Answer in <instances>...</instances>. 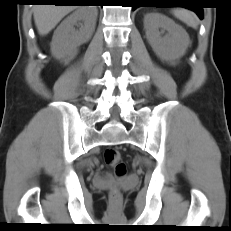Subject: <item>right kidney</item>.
Masks as SVG:
<instances>
[{"mask_svg":"<svg viewBox=\"0 0 231 231\" xmlns=\"http://www.w3.org/2000/svg\"><path fill=\"white\" fill-rule=\"evenodd\" d=\"M97 10L94 7H79L57 27L51 42V53L59 60L68 62L78 48L91 38L96 24ZM79 26V30L75 29Z\"/></svg>","mask_w":231,"mask_h":231,"instance_id":"ca27d5eb","label":"right kidney"}]
</instances>
